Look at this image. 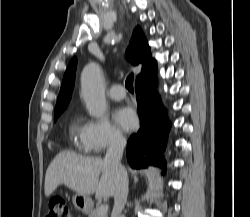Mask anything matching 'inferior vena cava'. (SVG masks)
Listing matches in <instances>:
<instances>
[{
  "mask_svg": "<svg viewBox=\"0 0 250 217\" xmlns=\"http://www.w3.org/2000/svg\"><path fill=\"white\" fill-rule=\"evenodd\" d=\"M126 140L122 135H114L106 152L104 162L110 166L115 179L114 206L111 217H122V210L128 196L127 171L121 165Z\"/></svg>",
  "mask_w": 250,
  "mask_h": 217,
  "instance_id": "obj_1",
  "label": "inferior vena cava"
}]
</instances>
